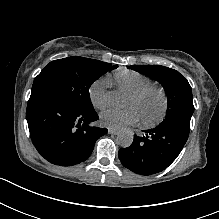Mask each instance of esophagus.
<instances>
[{
    "instance_id": "1",
    "label": "esophagus",
    "mask_w": 219,
    "mask_h": 219,
    "mask_svg": "<svg viewBox=\"0 0 219 219\" xmlns=\"http://www.w3.org/2000/svg\"><path fill=\"white\" fill-rule=\"evenodd\" d=\"M108 133L111 134V135H117L119 133V131L118 130H114V129H109Z\"/></svg>"
}]
</instances>
